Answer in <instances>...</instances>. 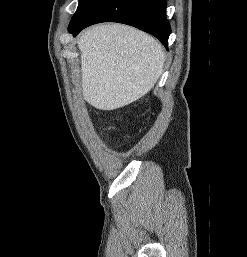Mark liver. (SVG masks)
I'll return each mask as SVG.
<instances>
[{"label": "liver", "mask_w": 247, "mask_h": 257, "mask_svg": "<svg viewBox=\"0 0 247 257\" xmlns=\"http://www.w3.org/2000/svg\"><path fill=\"white\" fill-rule=\"evenodd\" d=\"M77 44L83 97L99 110H115L138 100L163 72L161 44L130 26H93L79 36Z\"/></svg>", "instance_id": "liver-1"}]
</instances>
